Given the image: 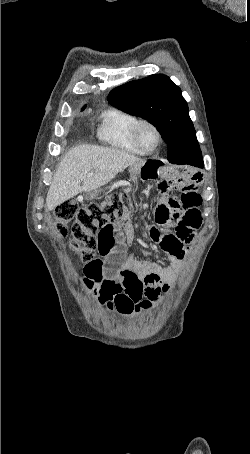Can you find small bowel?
<instances>
[{"mask_svg": "<svg viewBox=\"0 0 250 454\" xmlns=\"http://www.w3.org/2000/svg\"><path fill=\"white\" fill-rule=\"evenodd\" d=\"M202 173L194 171L186 176H174L158 181L130 179V189L144 196L154 190L158 194L155 207V226L149 230L150 238L160 245L170 265L137 260L127 256L123 240L133 236L129 217L104 227L98 233L100 258L89 261L83 270V282L97 302L109 310L125 315L150 312L176 280L189 245L202 223L199 186ZM180 190L179 197L171 196Z\"/></svg>", "mask_w": 250, "mask_h": 454, "instance_id": "small-bowel-1", "label": "small bowel"}]
</instances>
